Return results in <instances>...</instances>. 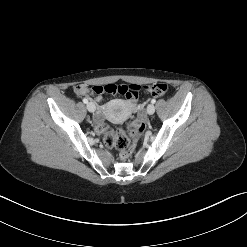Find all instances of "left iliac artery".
I'll return each instance as SVG.
<instances>
[{
  "label": "left iliac artery",
  "instance_id": "obj_1",
  "mask_svg": "<svg viewBox=\"0 0 247 247\" xmlns=\"http://www.w3.org/2000/svg\"><path fill=\"white\" fill-rule=\"evenodd\" d=\"M155 102H156V100H155V99H152V100H151V103H152V104H154Z\"/></svg>",
  "mask_w": 247,
  "mask_h": 247
}]
</instances>
